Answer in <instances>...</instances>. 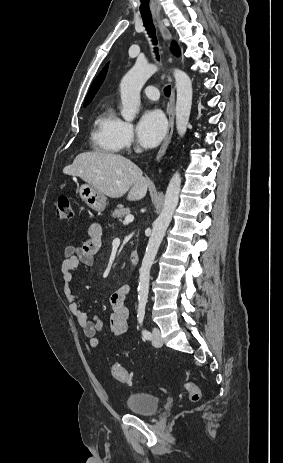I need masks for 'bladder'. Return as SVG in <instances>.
I'll use <instances>...</instances> for the list:
<instances>
[{
    "label": "bladder",
    "mask_w": 283,
    "mask_h": 463,
    "mask_svg": "<svg viewBox=\"0 0 283 463\" xmlns=\"http://www.w3.org/2000/svg\"><path fill=\"white\" fill-rule=\"evenodd\" d=\"M159 407V398L149 393H132L128 395L125 401L127 411L140 416H154Z\"/></svg>",
    "instance_id": "1"
}]
</instances>
